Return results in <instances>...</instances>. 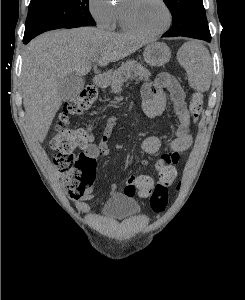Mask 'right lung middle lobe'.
I'll return each mask as SVG.
<instances>
[{"instance_id": "dd1d6c3e", "label": "right lung middle lobe", "mask_w": 245, "mask_h": 300, "mask_svg": "<svg viewBox=\"0 0 245 300\" xmlns=\"http://www.w3.org/2000/svg\"><path fill=\"white\" fill-rule=\"evenodd\" d=\"M96 25L88 0H31L24 38L53 29Z\"/></svg>"}]
</instances>
